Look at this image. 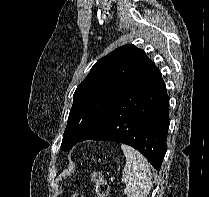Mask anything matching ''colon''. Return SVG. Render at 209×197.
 Instances as JSON below:
<instances>
[{
    "label": "colon",
    "mask_w": 209,
    "mask_h": 197,
    "mask_svg": "<svg viewBox=\"0 0 209 197\" xmlns=\"http://www.w3.org/2000/svg\"><path fill=\"white\" fill-rule=\"evenodd\" d=\"M91 181L94 185L95 192L98 196L104 197L109 192V185L105 177L100 173H93ZM73 197H82L80 194H74Z\"/></svg>",
    "instance_id": "obj_1"
}]
</instances>
